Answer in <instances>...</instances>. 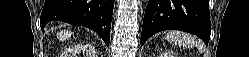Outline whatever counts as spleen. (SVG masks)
I'll return each mask as SVG.
<instances>
[{"instance_id":"3e777b00","label":"spleen","mask_w":249,"mask_h":57,"mask_svg":"<svg viewBox=\"0 0 249 57\" xmlns=\"http://www.w3.org/2000/svg\"><path fill=\"white\" fill-rule=\"evenodd\" d=\"M165 39L168 40L169 42H172L180 46H185V47L195 46L198 47L199 49L202 48V43L197 39H195L194 36L180 31H169L165 35Z\"/></svg>"}]
</instances>
